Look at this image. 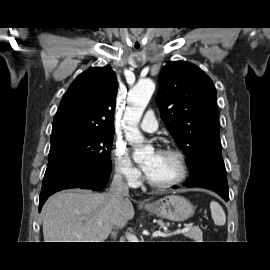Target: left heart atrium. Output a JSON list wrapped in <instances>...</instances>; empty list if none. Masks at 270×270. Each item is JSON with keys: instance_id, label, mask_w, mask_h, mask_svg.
<instances>
[{"instance_id": "left-heart-atrium-1", "label": "left heart atrium", "mask_w": 270, "mask_h": 270, "mask_svg": "<svg viewBox=\"0 0 270 270\" xmlns=\"http://www.w3.org/2000/svg\"><path fill=\"white\" fill-rule=\"evenodd\" d=\"M159 153H160V152H156V153L153 155V157H152L151 160L145 161V163L143 164L142 167H143V170L145 171L146 174H149L150 171L152 170L153 165H154V162H155V160L157 159Z\"/></svg>"}]
</instances>
